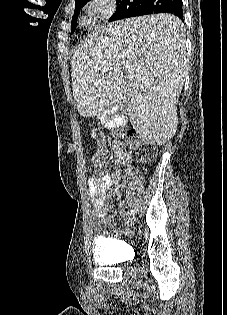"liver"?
<instances>
[{
  "mask_svg": "<svg viewBox=\"0 0 227 315\" xmlns=\"http://www.w3.org/2000/svg\"><path fill=\"white\" fill-rule=\"evenodd\" d=\"M184 31L178 17L160 13L118 20L90 35L71 59L79 114L93 117L123 101L138 134L164 145L175 135L189 70Z\"/></svg>",
  "mask_w": 227,
  "mask_h": 315,
  "instance_id": "1",
  "label": "liver"
}]
</instances>
